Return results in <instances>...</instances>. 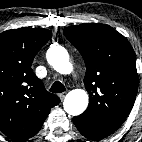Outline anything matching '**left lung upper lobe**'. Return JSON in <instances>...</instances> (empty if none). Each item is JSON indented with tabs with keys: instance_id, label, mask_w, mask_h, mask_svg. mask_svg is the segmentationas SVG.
<instances>
[{
	"instance_id": "left-lung-upper-lobe-1",
	"label": "left lung upper lobe",
	"mask_w": 142,
	"mask_h": 142,
	"mask_svg": "<svg viewBox=\"0 0 142 142\" xmlns=\"http://www.w3.org/2000/svg\"><path fill=\"white\" fill-rule=\"evenodd\" d=\"M63 32L86 65L89 105L74 119L105 138L122 125L134 104L138 90L134 51L123 35L106 24L84 23Z\"/></svg>"
}]
</instances>
